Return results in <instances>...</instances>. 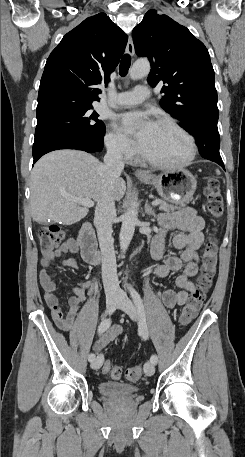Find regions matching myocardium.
<instances>
[{
    "label": "myocardium",
    "instance_id": "1",
    "mask_svg": "<svg viewBox=\"0 0 245 457\" xmlns=\"http://www.w3.org/2000/svg\"><path fill=\"white\" fill-rule=\"evenodd\" d=\"M158 127H165L172 129L179 134H181L187 141L186 145V154L185 156L179 160V161H172V160H161V159H156L153 157H150L144 153L141 154L142 158L144 161L149 163L150 165H153L155 167L159 168H164V169H177V168H182L184 166H187L190 164V162L193 160L195 156V142L193 137L181 126H179L177 123L168 120V119H163L159 122Z\"/></svg>",
    "mask_w": 245,
    "mask_h": 457
}]
</instances>
